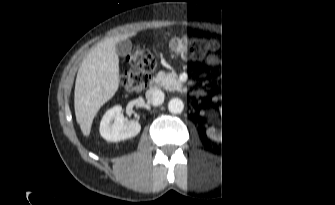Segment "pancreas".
Masks as SVG:
<instances>
[{
  "instance_id": "1",
  "label": "pancreas",
  "mask_w": 335,
  "mask_h": 205,
  "mask_svg": "<svg viewBox=\"0 0 335 205\" xmlns=\"http://www.w3.org/2000/svg\"><path fill=\"white\" fill-rule=\"evenodd\" d=\"M163 83L166 87L177 89L180 86V82L175 74H168L164 76Z\"/></svg>"
}]
</instances>
